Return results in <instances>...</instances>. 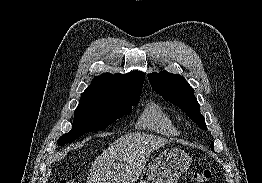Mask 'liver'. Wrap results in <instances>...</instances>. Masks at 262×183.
<instances>
[{"label":"liver","instance_id":"obj_1","mask_svg":"<svg viewBox=\"0 0 262 183\" xmlns=\"http://www.w3.org/2000/svg\"><path fill=\"white\" fill-rule=\"evenodd\" d=\"M167 143L151 134H125L92 163L87 183H135L151 153Z\"/></svg>","mask_w":262,"mask_h":183}]
</instances>
